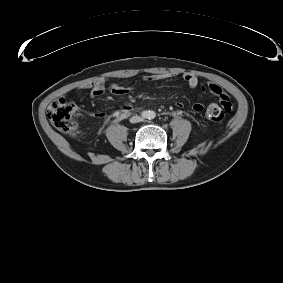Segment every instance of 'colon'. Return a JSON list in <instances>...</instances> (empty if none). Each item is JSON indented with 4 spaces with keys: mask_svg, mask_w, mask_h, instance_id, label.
<instances>
[{
    "mask_svg": "<svg viewBox=\"0 0 283 283\" xmlns=\"http://www.w3.org/2000/svg\"><path fill=\"white\" fill-rule=\"evenodd\" d=\"M232 105L228 98L224 103H214L207 107L206 117L212 121H220L223 119L225 112L231 109ZM75 106L72 102L61 97L54 100L48 108L47 117L51 124L59 131L76 135L78 126L73 119Z\"/></svg>",
    "mask_w": 283,
    "mask_h": 283,
    "instance_id": "5ec220e1",
    "label": "colon"
}]
</instances>
